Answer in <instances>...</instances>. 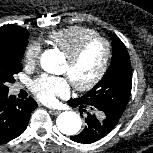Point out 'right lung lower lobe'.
Returning <instances> with one entry per match:
<instances>
[{"label":"right lung lower lobe","mask_w":153,"mask_h":153,"mask_svg":"<svg viewBox=\"0 0 153 153\" xmlns=\"http://www.w3.org/2000/svg\"><path fill=\"white\" fill-rule=\"evenodd\" d=\"M36 107V101L31 98L15 100L8 92L0 93V142L10 141L22 134Z\"/></svg>","instance_id":"obj_1"}]
</instances>
